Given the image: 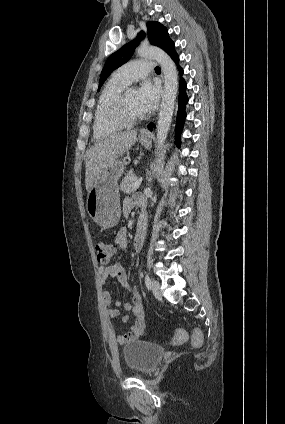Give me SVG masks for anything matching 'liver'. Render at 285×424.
<instances>
[{
	"mask_svg": "<svg viewBox=\"0 0 285 424\" xmlns=\"http://www.w3.org/2000/svg\"><path fill=\"white\" fill-rule=\"evenodd\" d=\"M137 131L114 133L92 146L85 156V186L89 191L108 165L126 153L135 143Z\"/></svg>",
	"mask_w": 285,
	"mask_h": 424,
	"instance_id": "liver-1",
	"label": "liver"
}]
</instances>
